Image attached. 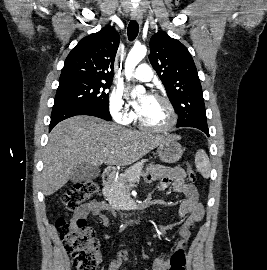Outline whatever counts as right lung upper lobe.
<instances>
[{"label":"right lung upper lobe","instance_id":"right-lung-upper-lobe-1","mask_svg":"<svg viewBox=\"0 0 267 270\" xmlns=\"http://www.w3.org/2000/svg\"><path fill=\"white\" fill-rule=\"evenodd\" d=\"M119 35L110 26L80 40L65 60L60 79L112 81Z\"/></svg>","mask_w":267,"mask_h":270}]
</instances>
